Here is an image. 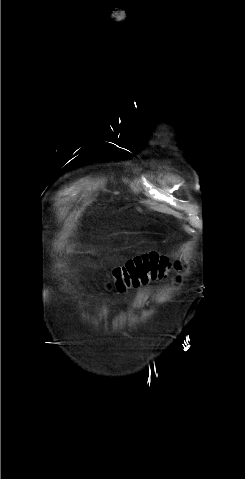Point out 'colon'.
<instances>
[{
	"label": "colon",
	"instance_id": "obj_1",
	"mask_svg": "<svg viewBox=\"0 0 245 479\" xmlns=\"http://www.w3.org/2000/svg\"><path fill=\"white\" fill-rule=\"evenodd\" d=\"M178 264L172 263L158 253H147L129 259L126 263L112 269L111 274L115 279L116 288L124 291L128 288L139 287L163 279Z\"/></svg>",
	"mask_w": 245,
	"mask_h": 479
}]
</instances>
